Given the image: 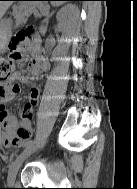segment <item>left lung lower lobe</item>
<instances>
[{"label":"left lung lower lobe","instance_id":"0a47b994","mask_svg":"<svg viewBox=\"0 0 137 189\" xmlns=\"http://www.w3.org/2000/svg\"><path fill=\"white\" fill-rule=\"evenodd\" d=\"M69 1H82V0H69Z\"/></svg>","mask_w":137,"mask_h":189}]
</instances>
